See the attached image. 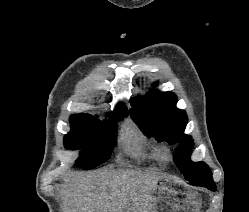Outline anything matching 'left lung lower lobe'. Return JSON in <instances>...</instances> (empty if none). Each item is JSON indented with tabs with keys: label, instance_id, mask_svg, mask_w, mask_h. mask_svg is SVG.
<instances>
[{
	"label": "left lung lower lobe",
	"instance_id": "left-lung-lower-lobe-1",
	"mask_svg": "<svg viewBox=\"0 0 249 212\" xmlns=\"http://www.w3.org/2000/svg\"><path fill=\"white\" fill-rule=\"evenodd\" d=\"M198 186H203V187L208 188L209 190L216 191V185H215L214 181L210 182V183H204V184H201Z\"/></svg>",
	"mask_w": 249,
	"mask_h": 212
}]
</instances>
